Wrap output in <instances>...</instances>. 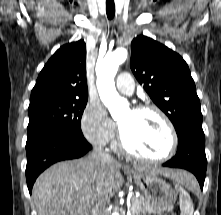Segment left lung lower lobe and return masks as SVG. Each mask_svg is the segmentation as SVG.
I'll list each match as a JSON object with an SVG mask.
<instances>
[{"instance_id": "left-lung-lower-lobe-1", "label": "left lung lower lobe", "mask_w": 221, "mask_h": 215, "mask_svg": "<svg viewBox=\"0 0 221 215\" xmlns=\"http://www.w3.org/2000/svg\"><path fill=\"white\" fill-rule=\"evenodd\" d=\"M163 166L182 168L192 172L198 179L201 189H203L207 167L203 130H187L181 138H178L176 155Z\"/></svg>"}]
</instances>
